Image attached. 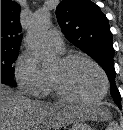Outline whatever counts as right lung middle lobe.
Segmentation results:
<instances>
[{
	"instance_id": "right-lung-middle-lobe-1",
	"label": "right lung middle lobe",
	"mask_w": 123,
	"mask_h": 130,
	"mask_svg": "<svg viewBox=\"0 0 123 130\" xmlns=\"http://www.w3.org/2000/svg\"><path fill=\"white\" fill-rule=\"evenodd\" d=\"M19 50H1V81H4L11 86H16L13 78L12 64L18 56Z\"/></svg>"
}]
</instances>
